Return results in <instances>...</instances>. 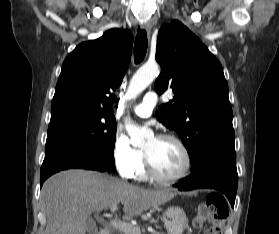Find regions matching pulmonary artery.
Returning a JSON list of instances; mask_svg holds the SVG:
<instances>
[{"instance_id":"obj_1","label":"pulmonary artery","mask_w":279,"mask_h":234,"mask_svg":"<svg viewBox=\"0 0 279 234\" xmlns=\"http://www.w3.org/2000/svg\"><path fill=\"white\" fill-rule=\"evenodd\" d=\"M158 100L154 92L145 94L142 101L133 105V112L140 117H149L152 114L153 108Z\"/></svg>"}]
</instances>
